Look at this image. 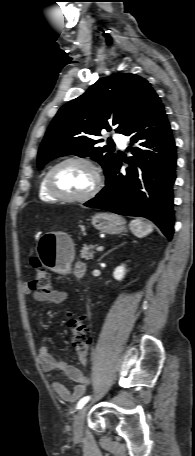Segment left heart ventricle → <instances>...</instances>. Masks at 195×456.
I'll return each mask as SVG.
<instances>
[{
  "mask_svg": "<svg viewBox=\"0 0 195 456\" xmlns=\"http://www.w3.org/2000/svg\"><path fill=\"white\" fill-rule=\"evenodd\" d=\"M53 182L61 193L69 196H81L92 188L94 176L86 165L68 163L55 172Z\"/></svg>",
  "mask_w": 195,
  "mask_h": 456,
  "instance_id": "b2bd125f",
  "label": "left heart ventricle"
}]
</instances>
